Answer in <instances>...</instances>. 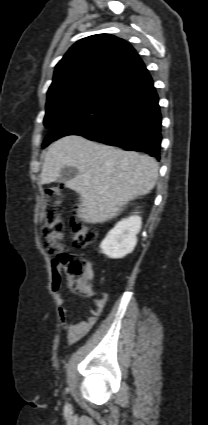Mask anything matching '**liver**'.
Here are the masks:
<instances>
[{
    "mask_svg": "<svg viewBox=\"0 0 208 425\" xmlns=\"http://www.w3.org/2000/svg\"><path fill=\"white\" fill-rule=\"evenodd\" d=\"M78 174L65 185L81 196L77 217L86 223H102L119 214L129 201L148 194L158 178L157 161L134 151H123L70 135L48 149L41 184L56 181L62 168Z\"/></svg>",
    "mask_w": 208,
    "mask_h": 425,
    "instance_id": "1",
    "label": "liver"
}]
</instances>
